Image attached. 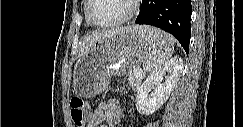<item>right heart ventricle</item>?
I'll list each match as a JSON object with an SVG mask.
<instances>
[{
	"mask_svg": "<svg viewBox=\"0 0 243 127\" xmlns=\"http://www.w3.org/2000/svg\"><path fill=\"white\" fill-rule=\"evenodd\" d=\"M87 5H88V1H85V3H84V13H85L86 23L89 25L90 23L88 22V20H87V16H86Z\"/></svg>",
	"mask_w": 243,
	"mask_h": 127,
	"instance_id": "right-heart-ventricle-1",
	"label": "right heart ventricle"
}]
</instances>
